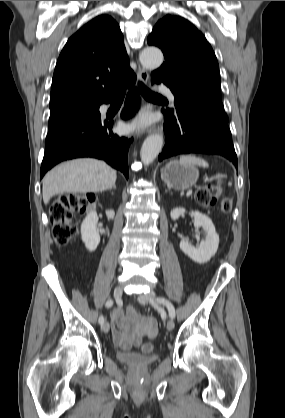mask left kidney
Returning <instances> with one entry per match:
<instances>
[{
	"label": "left kidney",
	"instance_id": "left-kidney-1",
	"mask_svg": "<svg viewBox=\"0 0 285 418\" xmlns=\"http://www.w3.org/2000/svg\"><path fill=\"white\" fill-rule=\"evenodd\" d=\"M185 213L186 210L184 208H175L171 211L170 216L175 221ZM191 216L194 217V226L203 228L205 240H202L198 247H194L186 238H182L180 241V249L193 261L200 264L206 263L217 252L219 236L216 233L212 220L207 215L199 211H191Z\"/></svg>",
	"mask_w": 285,
	"mask_h": 418
}]
</instances>
